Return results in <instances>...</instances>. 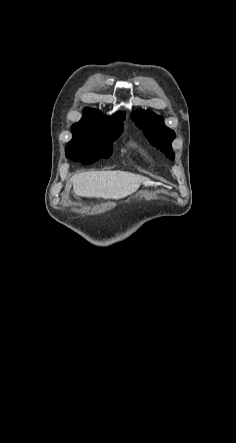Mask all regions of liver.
I'll return each instance as SVG.
<instances>
[{
    "label": "liver",
    "mask_w": 236,
    "mask_h": 443,
    "mask_svg": "<svg viewBox=\"0 0 236 443\" xmlns=\"http://www.w3.org/2000/svg\"><path fill=\"white\" fill-rule=\"evenodd\" d=\"M148 181L144 176L125 171H90L73 176L65 189L73 185L75 196L118 200Z\"/></svg>",
    "instance_id": "obj_1"
}]
</instances>
